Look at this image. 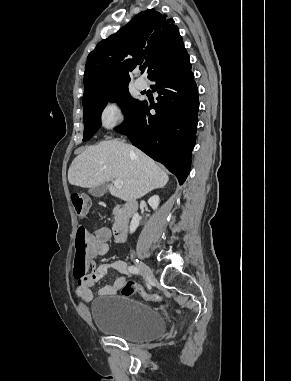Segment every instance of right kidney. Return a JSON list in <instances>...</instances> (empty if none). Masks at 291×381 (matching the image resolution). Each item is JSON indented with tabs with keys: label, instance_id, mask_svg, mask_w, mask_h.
I'll use <instances>...</instances> for the list:
<instances>
[{
	"label": "right kidney",
	"instance_id": "1",
	"mask_svg": "<svg viewBox=\"0 0 291 381\" xmlns=\"http://www.w3.org/2000/svg\"><path fill=\"white\" fill-rule=\"evenodd\" d=\"M159 202H160V199H159V196H158V195H154V196H152V197L148 200V203H149V205L151 206V208H152L153 210H156V209L158 208ZM139 222H140V217H139V215L136 213V214L133 215L132 220H131V223H130V233L135 232V230H136L137 227L139 226Z\"/></svg>",
	"mask_w": 291,
	"mask_h": 381
}]
</instances>
